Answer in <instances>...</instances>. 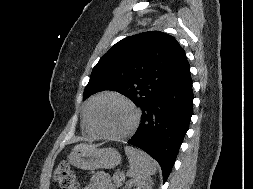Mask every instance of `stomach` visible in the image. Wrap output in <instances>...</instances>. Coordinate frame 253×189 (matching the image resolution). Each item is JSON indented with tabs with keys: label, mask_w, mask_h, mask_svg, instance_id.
Masks as SVG:
<instances>
[{
	"label": "stomach",
	"mask_w": 253,
	"mask_h": 189,
	"mask_svg": "<svg viewBox=\"0 0 253 189\" xmlns=\"http://www.w3.org/2000/svg\"><path fill=\"white\" fill-rule=\"evenodd\" d=\"M71 165L83 169L113 168L120 164L121 155L114 148H87L73 151L68 156Z\"/></svg>",
	"instance_id": "1"
}]
</instances>
